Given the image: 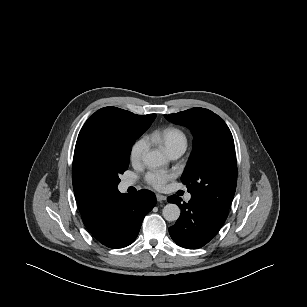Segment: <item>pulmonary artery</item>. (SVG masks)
Masks as SVG:
<instances>
[{
  "label": "pulmonary artery",
  "instance_id": "1",
  "mask_svg": "<svg viewBox=\"0 0 307 307\" xmlns=\"http://www.w3.org/2000/svg\"><path fill=\"white\" fill-rule=\"evenodd\" d=\"M185 150H182V149H179V150H176V151H173L172 153H170V157L172 159H177L179 158L183 153H184ZM133 185V182L132 181H129V180H126L122 183V187L124 189H127L128 187L132 186ZM191 199V195L190 194H187L186 197H185V200L186 201H189Z\"/></svg>",
  "mask_w": 307,
  "mask_h": 307
}]
</instances>
